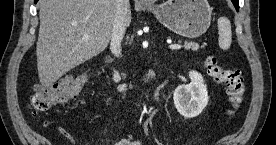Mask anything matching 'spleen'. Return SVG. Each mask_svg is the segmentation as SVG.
Here are the masks:
<instances>
[{
  "label": "spleen",
  "instance_id": "spleen-1",
  "mask_svg": "<svg viewBox=\"0 0 276 145\" xmlns=\"http://www.w3.org/2000/svg\"><path fill=\"white\" fill-rule=\"evenodd\" d=\"M218 24V43L222 50L229 49L232 41L231 23L226 17H220Z\"/></svg>",
  "mask_w": 276,
  "mask_h": 145
}]
</instances>
